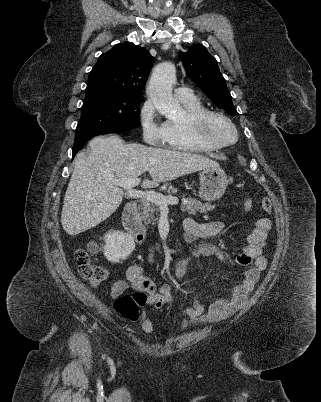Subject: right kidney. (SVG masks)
Returning a JSON list of instances; mask_svg holds the SVG:
<instances>
[{
    "label": "right kidney",
    "mask_w": 321,
    "mask_h": 402,
    "mask_svg": "<svg viewBox=\"0 0 321 402\" xmlns=\"http://www.w3.org/2000/svg\"><path fill=\"white\" fill-rule=\"evenodd\" d=\"M104 240V255L112 263L127 259L135 249L133 237L122 231L112 230L105 234Z\"/></svg>",
    "instance_id": "right-kidney-1"
}]
</instances>
